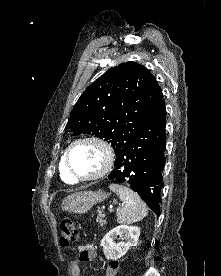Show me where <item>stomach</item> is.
Listing matches in <instances>:
<instances>
[{"label": "stomach", "instance_id": "1", "mask_svg": "<svg viewBox=\"0 0 221 276\" xmlns=\"http://www.w3.org/2000/svg\"><path fill=\"white\" fill-rule=\"evenodd\" d=\"M107 198L102 191H84L74 193L63 200V209L75 214H82L91 209L96 203Z\"/></svg>", "mask_w": 221, "mask_h": 276}]
</instances>
